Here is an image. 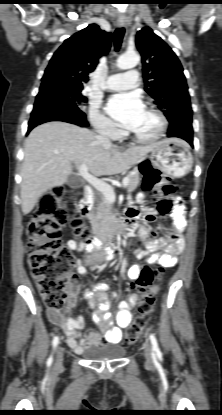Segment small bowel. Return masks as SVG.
<instances>
[{"label":"small bowel","instance_id":"c3829d8e","mask_svg":"<svg viewBox=\"0 0 222 415\" xmlns=\"http://www.w3.org/2000/svg\"><path fill=\"white\" fill-rule=\"evenodd\" d=\"M152 208L144 209V218L152 220L155 216ZM138 216L135 208L131 207L126 211V218L134 221ZM175 230L168 236L159 238L149 237L150 231L146 227L140 228V234L146 239L145 248L135 251V256L139 259H147L149 263L158 264L164 268H171L177 265V255L184 248V238L179 234L186 226L185 206L177 199L174 211L172 212ZM67 246L73 251H84L88 247L74 239L67 241ZM77 272L80 275L86 274V269L77 264ZM141 268L139 265H133L128 271V278L134 286ZM108 284L104 282L95 283L92 290H85L83 297L87 300L89 307L93 310L92 320L98 324L102 333L93 329L85 331L83 335L79 330L85 326L82 315H71V308L76 305L77 294L73 293L68 302V307L64 311L48 309L47 316L49 321L60 327L66 336L69 347L76 353H81L84 349L106 344H119L122 342L123 330L129 326L132 318V309L139 300V293L134 292L118 304V313L116 325H113L111 315L108 310L110 301L107 291ZM115 296V294H113Z\"/></svg>","mask_w":222,"mask_h":415}]
</instances>
